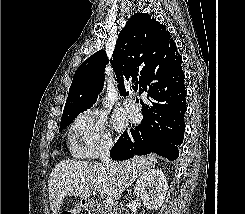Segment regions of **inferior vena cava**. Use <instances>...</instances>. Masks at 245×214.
Instances as JSON below:
<instances>
[{"mask_svg":"<svg viewBox=\"0 0 245 214\" xmlns=\"http://www.w3.org/2000/svg\"><path fill=\"white\" fill-rule=\"evenodd\" d=\"M112 147V142L109 140L103 141L101 143V156L100 159L102 163L109 169L116 167V164L112 161L109 156L110 149Z\"/></svg>","mask_w":245,"mask_h":214,"instance_id":"inferior-vena-cava-1","label":"inferior vena cava"}]
</instances>
